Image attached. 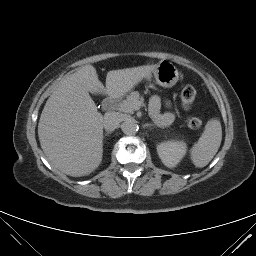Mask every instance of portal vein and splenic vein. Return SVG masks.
Here are the masks:
<instances>
[{
  "label": "portal vein and splenic vein",
  "instance_id": "obj_1",
  "mask_svg": "<svg viewBox=\"0 0 256 256\" xmlns=\"http://www.w3.org/2000/svg\"><path fill=\"white\" fill-rule=\"evenodd\" d=\"M136 109H139L138 105L136 106Z\"/></svg>",
  "mask_w": 256,
  "mask_h": 256
}]
</instances>
